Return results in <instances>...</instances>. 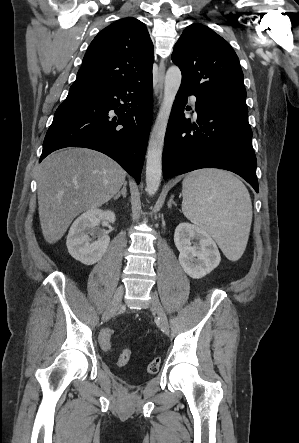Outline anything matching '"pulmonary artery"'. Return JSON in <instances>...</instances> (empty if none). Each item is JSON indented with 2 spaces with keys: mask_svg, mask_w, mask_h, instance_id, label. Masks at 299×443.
<instances>
[{
  "mask_svg": "<svg viewBox=\"0 0 299 443\" xmlns=\"http://www.w3.org/2000/svg\"><path fill=\"white\" fill-rule=\"evenodd\" d=\"M190 101H191V103H192V105H193V108H194V110H195L196 97H195V96H191V97H190Z\"/></svg>",
  "mask_w": 299,
  "mask_h": 443,
  "instance_id": "1",
  "label": "pulmonary artery"
}]
</instances>
